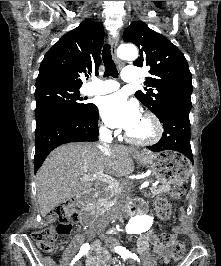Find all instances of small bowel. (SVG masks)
Here are the masks:
<instances>
[{
	"label": "small bowel",
	"mask_w": 221,
	"mask_h": 266,
	"mask_svg": "<svg viewBox=\"0 0 221 266\" xmlns=\"http://www.w3.org/2000/svg\"><path fill=\"white\" fill-rule=\"evenodd\" d=\"M176 231H178V228ZM172 235L173 238H175V235ZM150 243L154 245L156 257L164 263H167L170 259L167 247L157 243L155 235L150 231L140 236L138 240V252L140 254H145ZM86 264L87 266H110L112 264V260L106 252H92L87 256Z\"/></svg>",
	"instance_id": "obj_1"
}]
</instances>
